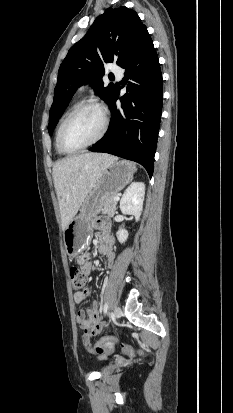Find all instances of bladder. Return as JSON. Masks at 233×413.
<instances>
[{
    "label": "bladder",
    "instance_id": "bladder-1",
    "mask_svg": "<svg viewBox=\"0 0 233 413\" xmlns=\"http://www.w3.org/2000/svg\"><path fill=\"white\" fill-rule=\"evenodd\" d=\"M114 370H115V366L112 365V364H109L101 370V373L102 374H111Z\"/></svg>",
    "mask_w": 233,
    "mask_h": 413
}]
</instances>
